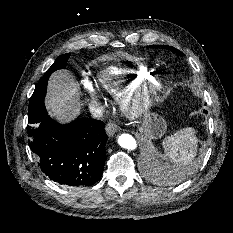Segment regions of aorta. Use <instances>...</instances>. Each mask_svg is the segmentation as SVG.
<instances>
[{
  "mask_svg": "<svg viewBox=\"0 0 233 233\" xmlns=\"http://www.w3.org/2000/svg\"><path fill=\"white\" fill-rule=\"evenodd\" d=\"M118 143L122 148H125L128 150H134L137 147L136 140L130 134H125V133L121 134L118 137Z\"/></svg>",
  "mask_w": 233,
  "mask_h": 233,
  "instance_id": "1",
  "label": "aorta"
}]
</instances>
